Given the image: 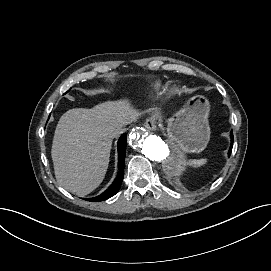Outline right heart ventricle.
I'll list each match as a JSON object with an SVG mask.
<instances>
[{"instance_id":"e07e8e85","label":"right heart ventricle","mask_w":271,"mask_h":271,"mask_svg":"<svg viewBox=\"0 0 271 271\" xmlns=\"http://www.w3.org/2000/svg\"><path fill=\"white\" fill-rule=\"evenodd\" d=\"M165 87H166V85H165V83H163V82H156V83H154V84L152 85V89H153L154 91H158V92L163 91V90L165 89Z\"/></svg>"}]
</instances>
